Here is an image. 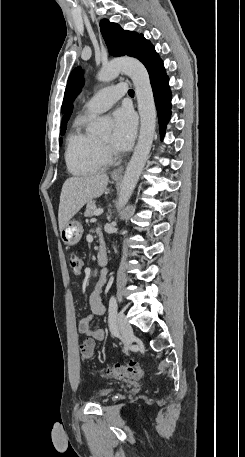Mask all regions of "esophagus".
I'll list each match as a JSON object with an SVG mask.
<instances>
[{"label": "esophagus", "instance_id": "obj_1", "mask_svg": "<svg viewBox=\"0 0 245 457\" xmlns=\"http://www.w3.org/2000/svg\"><path fill=\"white\" fill-rule=\"evenodd\" d=\"M124 167H118L111 173L112 176H122Z\"/></svg>", "mask_w": 245, "mask_h": 457}]
</instances>
